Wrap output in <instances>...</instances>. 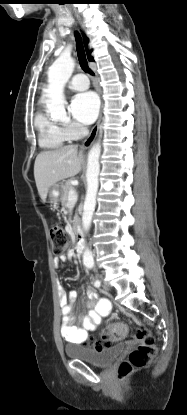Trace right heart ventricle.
<instances>
[{
  "mask_svg": "<svg viewBox=\"0 0 187 415\" xmlns=\"http://www.w3.org/2000/svg\"><path fill=\"white\" fill-rule=\"evenodd\" d=\"M35 127L38 131L39 144L43 148L56 149L69 140L63 127L50 119L42 110L35 116Z\"/></svg>",
  "mask_w": 187,
  "mask_h": 415,
  "instance_id": "e07e8e85",
  "label": "right heart ventricle"
}]
</instances>
